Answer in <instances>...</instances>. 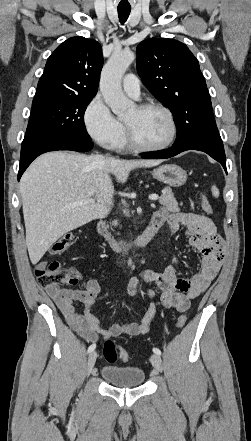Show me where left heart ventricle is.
<instances>
[{
    "mask_svg": "<svg viewBox=\"0 0 251 441\" xmlns=\"http://www.w3.org/2000/svg\"><path fill=\"white\" fill-rule=\"evenodd\" d=\"M137 139L148 146L163 144L170 136L171 126L168 117L159 109L140 111L134 107L124 117Z\"/></svg>",
    "mask_w": 251,
    "mask_h": 441,
    "instance_id": "left-heart-ventricle-1",
    "label": "left heart ventricle"
}]
</instances>
